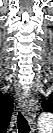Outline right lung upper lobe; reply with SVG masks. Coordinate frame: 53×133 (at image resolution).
<instances>
[{
	"label": "right lung upper lobe",
	"instance_id": "cb5924a9",
	"mask_svg": "<svg viewBox=\"0 0 53 133\" xmlns=\"http://www.w3.org/2000/svg\"><path fill=\"white\" fill-rule=\"evenodd\" d=\"M13 112V102L7 95L0 94V125L6 130Z\"/></svg>",
	"mask_w": 53,
	"mask_h": 133
}]
</instances>
